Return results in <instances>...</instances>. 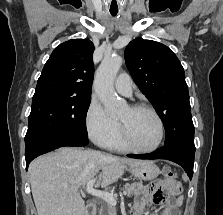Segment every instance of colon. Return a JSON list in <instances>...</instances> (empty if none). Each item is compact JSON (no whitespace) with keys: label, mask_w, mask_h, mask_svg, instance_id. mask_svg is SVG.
I'll use <instances>...</instances> for the list:
<instances>
[{"label":"colon","mask_w":223,"mask_h":215,"mask_svg":"<svg viewBox=\"0 0 223 215\" xmlns=\"http://www.w3.org/2000/svg\"><path fill=\"white\" fill-rule=\"evenodd\" d=\"M163 173L169 179H174L176 177V174L174 173V171L168 166L164 167Z\"/></svg>","instance_id":"obj_1"}]
</instances>
